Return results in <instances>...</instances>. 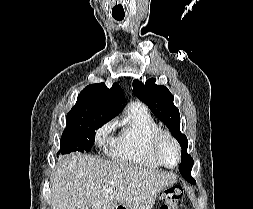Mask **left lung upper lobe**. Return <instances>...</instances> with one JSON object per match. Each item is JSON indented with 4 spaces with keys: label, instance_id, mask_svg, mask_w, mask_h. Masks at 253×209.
Returning <instances> with one entry per match:
<instances>
[{
    "label": "left lung upper lobe",
    "instance_id": "1",
    "mask_svg": "<svg viewBox=\"0 0 253 209\" xmlns=\"http://www.w3.org/2000/svg\"><path fill=\"white\" fill-rule=\"evenodd\" d=\"M155 81L156 80L154 78H151L143 84L138 80H134L133 92L139 100L148 105L152 113L168 127L179 142L182 148L179 171L189 182L193 178L191 176V170L194 161L187 153V137L180 131L179 110L173 104V95L170 91L163 85H156Z\"/></svg>",
    "mask_w": 253,
    "mask_h": 209
}]
</instances>
